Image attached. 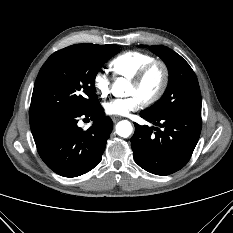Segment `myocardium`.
I'll use <instances>...</instances> for the list:
<instances>
[{
  "mask_svg": "<svg viewBox=\"0 0 233 233\" xmlns=\"http://www.w3.org/2000/svg\"><path fill=\"white\" fill-rule=\"evenodd\" d=\"M160 67L162 70V81L156 93L148 99L142 101L145 107L151 106L158 102L164 95L170 80V71L168 65L163 60L154 59L151 62L140 68L137 73L130 79V82L135 86H140L148 73L154 68Z\"/></svg>",
  "mask_w": 233,
  "mask_h": 233,
  "instance_id": "obj_1",
  "label": "myocardium"
}]
</instances>
